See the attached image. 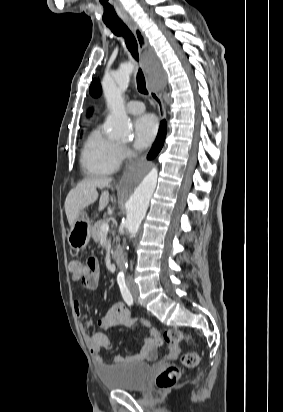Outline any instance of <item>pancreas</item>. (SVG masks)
I'll use <instances>...</instances> for the list:
<instances>
[{
  "label": "pancreas",
  "instance_id": "1",
  "mask_svg": "<svg viewBox=\"0 0 283 412\" xmlns=\"http://www.w3.org/2000/svg\"><path fill=\"white\" fill-rule=\"evenodd\" d=\"M104 223H106L105 220H99V221H97V222L93 225V227H92L91 235H92V238H93V240H94L95 242H99V241H100V238H101V226H102Z\"/></svg>",
  "mask_w": 283,
  "mask_h": 412
}]
</instances>
